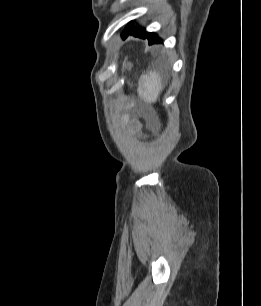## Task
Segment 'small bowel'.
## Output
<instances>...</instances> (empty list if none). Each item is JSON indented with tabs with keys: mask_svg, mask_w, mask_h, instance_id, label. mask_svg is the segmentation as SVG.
Here are the masks:
<instances>
[{
	"mask_svg": "<svg viewBox=\"0 0 261 306\" xmlns=\"http://www.w3.org/2000/svg\"><path fill=\"white\" fill-rule=\"evenodd\" d=\"M138 129H139V123L135 122V121L131 122V131L132 132H137Z\"/></svg>",
	"mask_w": 261,
	"mask_h": 306,
	"instance_id": "small-bowel-1",
	"label": "small bowel"
}]
</instances>
